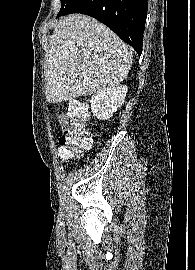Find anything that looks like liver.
Returning a JSON list of instances; mask_svg holds the SVG:
<instances>
[{"instance_id":"1","label":"liver","mask_w":195,"mask_h":270,"mask_svg":"<svg viewBox=\"0 0 195 270\" xmlns=\"http://www.w3.org/2000/svg\"><path fill=\"white\" fill-rule=\"evenodd\" d=\"M45 96L60 103L119 85L132 51L104 24L82 14L59 20L50 41Z\"/></svg>"}]
</instances>
